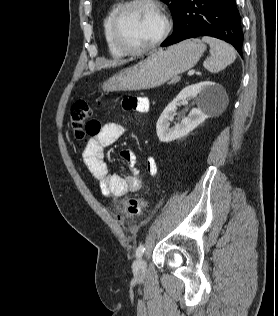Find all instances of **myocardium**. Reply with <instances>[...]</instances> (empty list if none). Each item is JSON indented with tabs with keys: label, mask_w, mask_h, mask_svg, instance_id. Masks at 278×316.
<instances>
[{
	"label": "myocardium",
	"mask_w": 278,
	"mask_h": 316,
	"mask_svg": "<svg viewBox=\"0 0 278 316\" xmlns=\"http://www.w3.org/2000/svg\"><path fill=\"white\" fill-rule=\"evenodd\" d=\"M139 4H146L151 6L160 16L162 20V30L159 34V36L152 41L151 43L138 47V48H133L128 46L122 39L121 33H120V24L123 16L125 13L131 9L132 7L139 5ZM172 28V22L171 19L163 7V5L158 2L157 0H129L121 4V6L117 9L115 12L113 19H112V24H111V29H112V36L114 39L115 44L117 47L123 51L125 54H130V55H140L143 54L149 50H152L159 46L169 35L170 31Z\"/></svg>",
	"instance_id": "myocardium-1"
}]
</instances>
